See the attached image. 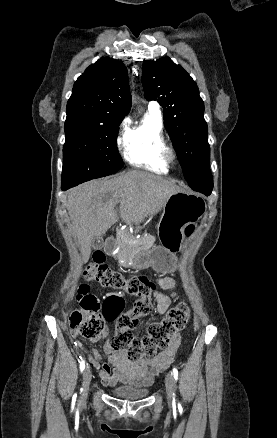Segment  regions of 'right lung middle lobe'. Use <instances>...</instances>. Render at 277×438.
I'll return each mask as SVG.
<instances>
[{"label": "right lung middle lobe", "mask_w": 277, "mask_h": 438, "mask_svg": "<svg viewBox=\"0 0 277 438\" xmlns=\"http://www.w3.org/2000/svg\"><path fill=\"white\" fill-rule=\"evenodd\" d=\"M120 123L66 120L62 184L76 186L123 167L116 143Z\"/></svg>", "instance_id": "obj_1"}]
</instances>
